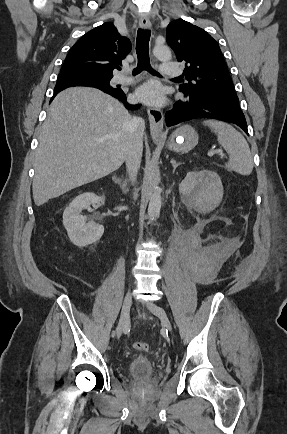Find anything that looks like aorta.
I'll list each match as a JSON object with an SVG mask.
<instances>
[{"instance_id":"1","label":"aorta","mask_w":287,"mask_h":434,"mask_svg":"<svg viewBox=\"0 0 287 434\" xmlns=\"http://www.w3.org/2000/svg\"><path fill=\"white\" fill-rule=\"evenodd\" d=\"M154 56L160 61H168L171 59V51L165 45H156L153 48ZM162 197L160 187H155L154 192L150 197L148 205V217L150 221L156 220L160 215Z\"/></svg>"}]
</instances>
